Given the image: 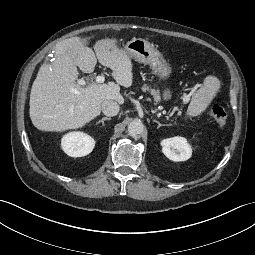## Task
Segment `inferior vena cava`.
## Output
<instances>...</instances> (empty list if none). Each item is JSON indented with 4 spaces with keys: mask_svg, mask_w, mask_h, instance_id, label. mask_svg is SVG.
Masks as SVG:
<instances>
[{
    "mask_svg": "<svg viewBox=\"0 0 255 255\" xmlns=\"http://www.w3.org/2000/svg\"><path fill=\"white\" fill-rule=\"evenodd\" d=\"M101 109L106 116L113 117L118 114L120 107L118 103L113 100H105L101 104Z\"/></svg>",
    "mask_w": 255,
    "mask_h": 255,
    "instance_id": "inferior-vena-cava-1",
    "label": "inferior vena cava"
}]
</instances>
